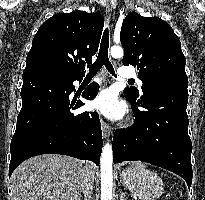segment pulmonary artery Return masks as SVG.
<instances>
[{
    "label": "pulmonary artery",
    "instance_id": "obj_1",
    "mask_svg": "<svg viewBox=\"0 0 205 200\" xmlns=\"http://www.w3.org/2000/svg\"><path fill=\"white\" fill-rule=\"evenodd\" d=\"M118 76L122 79H129V78H135L136 77V73L126 67H121L118 69ZM138 86L141 87L142 82L141 80H137Z\"/></svg>",
    "mask_w": 205,
    "mask_h": 200
}]
</instances>
